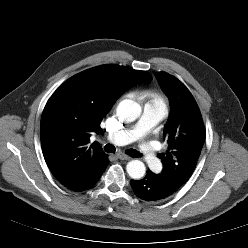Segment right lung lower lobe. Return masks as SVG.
I'll use <instances>...</instances> for the list:
<instances>
[{
  "label": "right lung lower lobe",
  "instance_id": "98d812e1",
  "mask_svg": "<svg viewBox=\"0 0 248 248\" xmlns=\"http://www.w3.org/2000/svg\"><path fill=\"white\" fill-rule=\"evenodd\" d=\"M108 163L109 160L107 155H105L97 163L89 164L81 171L78 179L66 187L74 192H81L92 188L100 179Z\"/></svg>",
  "mask_w": 248,
  "mask_h": 248
}]
</instances>
